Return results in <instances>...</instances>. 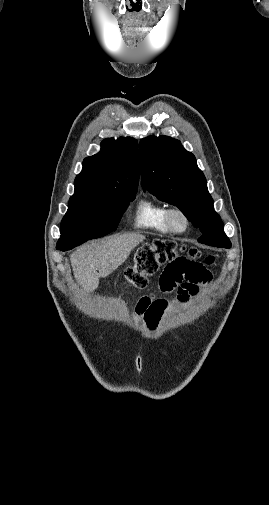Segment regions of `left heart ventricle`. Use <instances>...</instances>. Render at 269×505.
<instances>
[{
	"instance_id": "left-heart-ventricle-1",
	"label": "left heart ventricle",
	"mask_w": 269,
	"mask_h": 505,
	"mask_svg": "<svg viewBox=\"0 0 269 505\" xmlns=\"http://www.w3.org/2000/svg\"><path fill=\"white\" fill-rule=\"evenodd\" d=\"M174 224L179 229H182L185 226L184 220L180 216H176L174 218Z\"/></svg>"
}]
</instances>
